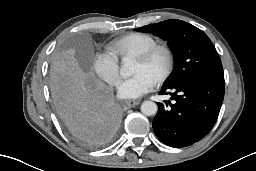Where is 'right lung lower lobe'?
I'll return each instance as SVG.
<instances>
[{
  "label": "right lung lower lobe",
  "mask_w": 256,
  "mask_h": 171,
  "mask_svg": "<svg viewBox=\"0 0 256 171\" xmlns=\"http://www.w3.org/2000/svg\"><path fill=\"white\" fill-rule=\"evenodd\" d=\"M59 118L80 144L99 147L111 142L121 124V110L112 91L94 84L55 102Z\"/></svg>",
  "instance_id": "1"
}]
</instances>
